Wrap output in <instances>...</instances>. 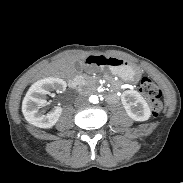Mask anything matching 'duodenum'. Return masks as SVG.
I'll return each instance as SVG.
<instances>
[{"mask_svg": "<svg viewBox=\"0 0 183 183\" xmlns=\"http://www.w3.org/2000/svg\"><path fill=\"white\" fill-rule=\"evenodd\" d=\"M85 82V77L82 74H77L70 82L72 87L82 85Z\"/></svg>", "mask_w": 183, "mask_h": 183, "instance_id": "1", "label": "duodenum"}]
</instances>
